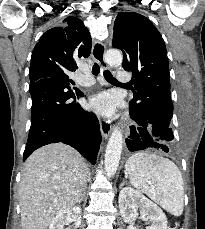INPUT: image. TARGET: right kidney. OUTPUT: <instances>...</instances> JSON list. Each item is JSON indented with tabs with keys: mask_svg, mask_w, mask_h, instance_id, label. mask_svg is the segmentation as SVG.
<instances>
[{
	"mask_svg": "<svg viewBox=\"0 0 205 229\" xmlns=\"http://www.w3.org/2000/svg\"><path fill=\"white\" fill-rule=\"evenodd\" d=\"M81 213V207L75 206L71 209H65L58 213L50 223L49 229H64L65 225H68L73 218Z\"/></svg>",
	"mask_w": 205,
	"mask_h": 229,
	"instance_id": "ca27d5eb",
	"label": "right kidney"
}]
</instances>
